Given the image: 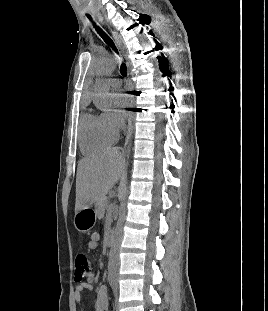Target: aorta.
Listing matches in <instances>:
<instances>
[{
  "label": "aorta",
  "instance_id": "1",
  "mask_svg": "<svg viewBox=\"0 0 268 311\" xmlns=\"http://www.w3.org/2000/svg\"><path fill=\"white\" fill-rule=\"evenodd\" d=\"M117 67V61L113 57H108L99 61L93 68L95 73L99 76L111 74ZM96 95L100 98L97 104L104 106L108 97V87L104 84L102 79H98L95 88ZM120 204L118 208V220L113 234L111 249L109 252L108 271L111 277H116L119 266V249L122 241L123 223L126 214V202L129 193L128 178L125 177L120 183Z\"/></svg>",
  "mask_w": 268,
  "mask_h": 311
}]
</instances>
